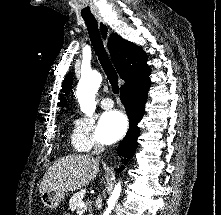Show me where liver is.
<instances>
[{
    "instance_id": "liver-1",
    "label": "liver",
    "mask_w": 221,
    "mask_h": 215,
    "mask_svg": "<svg viewBox=\"0 0 221 215\" xmlns=\"http://www.w3.org/2000/svg\"><path fill=\"white\" fill-rule=\"evenodd\" d=\"M100 163L91 154L68 155L56 160L43 176L40 194L48 190L75 191L89 184L99 172Z\"/></svg>"
}]
</instances>
